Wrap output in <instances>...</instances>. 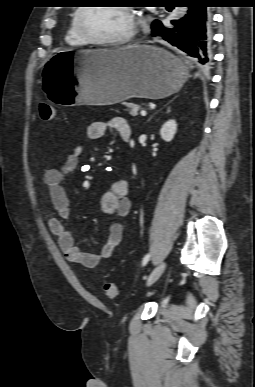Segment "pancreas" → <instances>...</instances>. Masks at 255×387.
I'll use <instances>...</instances> for the list:
<instances>
[{"instance_id":"obj_1","label":"pancreas","mask_w":255,"mask_h":387,"mask_svg":"<svg viewBox=\"0 0 255 387\" xmlns=\"http://www.w3.org/2000/svg\"><path fill=\"white\" fill-rule=\"evenodd\" d=\"M125 105L128 107L129 113L136 117L138 115V110L140 109V106L134 103H125Z\"/></svg>"}]
</instances>
